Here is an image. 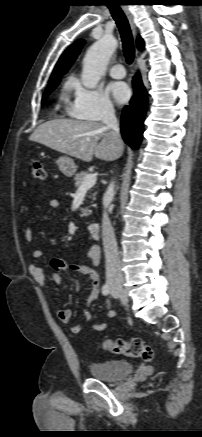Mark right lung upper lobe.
Instances as JSON below:
<instances>
[{
    "mask_svg": "<svg viewBox=\"0 0 202 437\" xmlns=\"http://www.w3.org/2000/svg\"><path fill=\"white\" fill-rule=\"evenodd\" d=\"M137 48L139 50H142L144 48V41L142 38L138 37L137 40ZM84 45V40H79L72 44L60 57L59 61L57 62L54 71L51 75L50 82H54L57 80H60V77L63 76L72 63L77 58L80 50L82 49Z\"/></svg>",
    "mask_w": 202,
    "mask_h": 437,
    "instance_id": "obj_1",
    "label": "right lung upper lobe"
}]
</instances>
